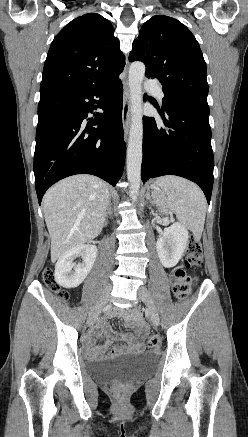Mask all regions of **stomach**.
<instances>
[{"instance_id":"1","label":"stomach","mask_w":248,"mask_h":437,"mask_svg":"<svg viewBox=\"0 0 248 437\" xmlns=\"http://www.w3.org/2000/svg\"><path fill=\"white\" fill-rule=\"evenodd\" d=\"M148 190H151L152 197H154L156 194L162 193V189L157 188L155 183L150 184V186L148 187Z\"/></svg>"}]
</instances>
